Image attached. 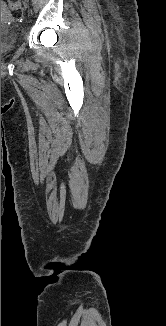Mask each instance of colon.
<instances>
[{
  "mask_svg": "<svg viewBox=\"0 0 166 326\" xmlns=\"http://www.w3.org/2000/svg\"><path fill=\"white\" fill-rule=\"evenodd\" d=\"M8 3H9V7H10L12 10H16V9H18V8L20 7L19 2H17V1H11V0H10Z\"/></svg>",
  "mask_w": 166,
  "mask_h": 326,
  "instance_id": "colon-1",
  "label": "colon"
}]
</instances>
